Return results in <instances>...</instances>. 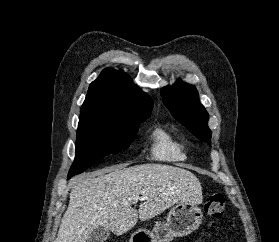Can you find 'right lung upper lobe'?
<instances>
[{
  "mask_svg": "<svg viewBox=\"0 0 279 242\" xmlns=\"http://www.w3.org/2000/svg\"><path fill=\"white\" fill-rule=\"evenodd\" d=\"M153 101L122 71L106 68L90 84L80 117L139 123L151 115Z\"/></svg>",
  "mask_w": 279,
  "mask_h": 242,
  "instance_id": "obj_1",
  "label": "right lung upper lobe"
}]
</instances>
